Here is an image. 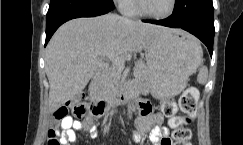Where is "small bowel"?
<instances>
[{
	"label": "small bowel",
	"mask_w": 243,
	"mask_h": 145,
	"mask_svg": "<svg viewBox=\"0 0 243 145\" xmlns=\"http://www.w3.org/2000/svg\"><path fill=\"white\" fill-rule=\"evenodd\" d=\"M138 109L139 116L136 121L138 132L133 133V140L135 142H144V134L149 132L148 140L152 145H171L169 129L162 125L163 116L160 113H155L147 102H139ZM85 125H89V127L85 128ZM75 130H86L91 138H96L98 135L90 117H87L84 121H79L68 116L55 128L61 145H70V143L76 141Z\"/></svg>",
	"instance_id": "c3829d8e"
}]
</instances>
